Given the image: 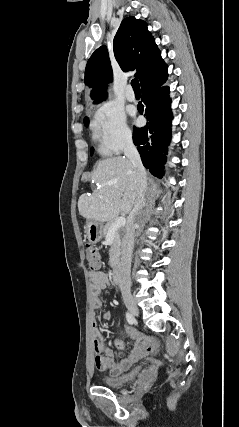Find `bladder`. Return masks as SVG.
<instances>
[{
  "label": "bladder",
  "instance_id": "bladder-1",
  "mask_svg": "<svg viewBox=\"0 0 239 427\" xmlns=\"http://www.w3.org/2000/svg\"><path fill=\"white\" fill-rule=\"evenodd\" d=\"M139 373V368L131 370L123 375H108L102 378V383L107 387H119L132 381Z\"/></svg>",
  "mask_w": 239,
  "mask_h": 427
}]
</instances>
